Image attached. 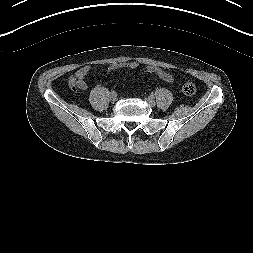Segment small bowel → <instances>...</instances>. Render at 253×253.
I'll return each instance as SVG.
<instances>
[{
	"label": "small bowel",
	"instance_id": "c3829d8e",
	"mask_svg": "<svg viewBox=\"0 0 253 253\" xmlns=\"http://www.w3.org/2000/svg\"><path fill=\"white\" fill-rule=\"evenodd\" d=\"M121 67H126V68L133 70L138 67V64L136 62H127V63H122V64H111L108 69L110 71H113V70L119 69ZM90 70H91V67L86 65V66L79 68L76 71L75 85L77 86L78 89H80V90L87 89V83L85 81V78L88 75V73L90 72ZM145 72L149 73V74L157 75L158 77L162 78L163 80H165L167 82L173 81V76L168 71L163 70L161 68L146 66Z\"/></svg>",
	"mask_w": 253,
	"mask_h": 253
}]
</instances>
